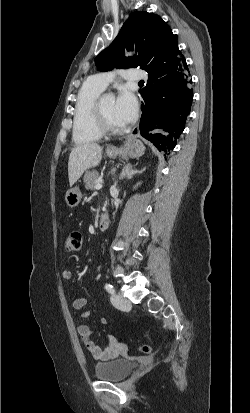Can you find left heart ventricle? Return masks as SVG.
I'll use <instances>...</instances> for the list:
<instances>
[{
    "label": "left heart ventricle",
    "mask_w": 250,
    "mask_h": 413,
    "mask_svg": "<svg viewBox=\"0 0 250 413\" xmlns=\"http://www.w3.org/2000/svg\"><path fill=\"white\" fill-rule=\"evenodd\" d=\"M102 108L103 111L106 115V117L109 119V121L114 124L119 126L120 124L117 122L116 117H115V101L112 98H104L102 100Z\"/></svg>",
    "instance_id": "1"
}]
</instances>
